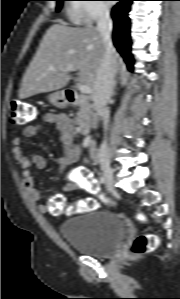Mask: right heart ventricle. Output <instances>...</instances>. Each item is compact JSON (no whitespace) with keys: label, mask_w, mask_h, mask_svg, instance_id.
Masks as SVG:
<instances>
[{"label":"right heart ventricle","mask_w":180,"mask_h":299,"mask_svg":"<svg viewBox=\"0 0 180 299\" xmlns=\"http://www.w3.org/2000/svg\"><path fill=\"white\" fill-rule=\"evenodd\" d=\"M71 17L74 21H78V18L74 15V13L71 14Z\"/></svg>","instance_id":"1"}]
</instances>
